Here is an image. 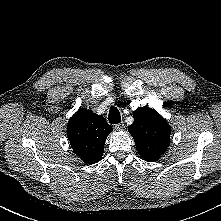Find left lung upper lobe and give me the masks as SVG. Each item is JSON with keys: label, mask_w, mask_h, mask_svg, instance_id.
Instances as JSON below:
<instances>
[{"label": "left lung upper lobe", "mask_w": 221, "mask_h": 221, "mask_svg": "<svg viewBox=\"0 0 221 221\" xmlns=\"http://www.w3.org/2000/svg\"><path fill=\"white\" fill-rule=\"evenodd\" d=\"M133 117L134 122L128 130L139 155L146 161H157L170 144V126L157 111L148 107L136 109Z\"/></svg>", "instance_id": "5c2ea615"}]
</instances>
